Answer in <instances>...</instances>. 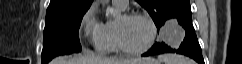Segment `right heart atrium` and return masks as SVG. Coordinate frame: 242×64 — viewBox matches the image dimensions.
<instances>
[{"instance_id":"obj_1","label":"right heart atrium","mask_w":242,"mask_h":64,"mask_svg":"<svg viewBox=\"0 0 242 64\" xmlns=\"http://www.w3.org/2000/svg\"><path fill=\"white\" fill-rule=\"evenodd\" d=\"M80 32L85 40L93 43L103 35L104 24L97 19L94 7H90L83 15L80 22Z\"/></svg>"}]
</instances>
